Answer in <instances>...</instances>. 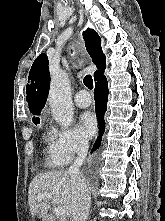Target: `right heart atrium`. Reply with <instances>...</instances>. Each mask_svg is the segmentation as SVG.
Masks as SVG:
<instances>
[{"instance_id":"obj_1","label":"right heart atrium","mask_w":165,"mask_h":221,"mask_svg":"<svg viewBox=\"0 0 165 221\" xmlns=\"http://www.w3.org/2000/svg\"><path fill=\"white\" fill-rule=\"evenodd\" d=\"M49 148L55 158L68 163L88 148V141L76 128L52 127Z\"/></svg>"}]
</instances>
